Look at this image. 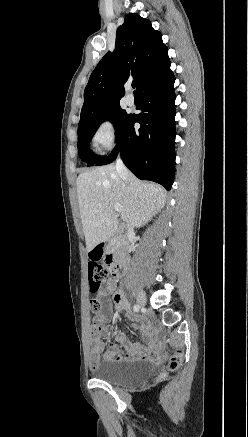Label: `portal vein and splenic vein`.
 Segmentation results:
<instances>
[{"label":"portal vein and splenic vein","instance_id":"portal-vein-and-splenic-vein-1","mask_svg":"<svg viewBox=\"0 0 248 437\" xmlns=\"http://www.w3.org/2000/svg\"><path fill=\"white\" fill-rule=\"evenodd\" d=\"M114 209H115V211L120 212V213H122V211H123V208L121 205H115Z\"/></svg>","mask_w":248,"mask_h":437}]
</instances>
